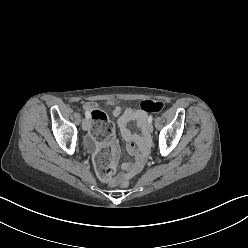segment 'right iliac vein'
I'll return each instance as SVG.
<instances>
[{"label":"right iliac vein","mask_w":248,"mask_h":248,"mask_svg":"<svg viewBox=\"0 0 248 248\" xmlns=\"http://www.w3.org/2000/svg\"><path fill=\"white\" fill-rule=\"evenodd\" d=\"M90 127V122H89V119L88 118H85L82 122V129L84 131H87Z\"/></svg>","instance_id":"1"}]
</instances>
